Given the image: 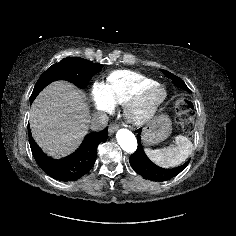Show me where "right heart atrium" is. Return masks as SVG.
Segmentation results:
<instances>
[{
    "label": "right heart atrium",
    "mask_w": 236,
    "mask_h": 236,
    "mask_svg": "<svg viewBox=\"0 0 236 236\" xmlns=\"http://www.w3.org/2000/svg\"><path fill=\"white\" fill-rule=\"evenodd\" d=\"M105 90V83L101 81L95 82L92 86V101L98 112H108L113 108L106 100Z\"/></svg>",
    "instance_id": "right-heart-atrium-1"
}]
</instances>
